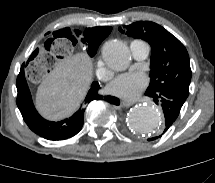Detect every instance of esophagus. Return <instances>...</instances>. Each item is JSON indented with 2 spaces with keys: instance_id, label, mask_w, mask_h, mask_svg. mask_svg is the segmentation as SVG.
<instances>
[{
  "instance_id": "1",
  "label": "esophagus",
  "mask_w": 215,
  "mask_h": 183,
  "mask_svg": "<svg viewBox=\"0 0 215 183\" xmlns=\"http://www.w3.org/2000/svg\"><path fill=\"white\" fill-rule=\"evenodd\" d=\"M134 104V102H130V101H121L120 102V106L121 107H124V108H127V107H130Z\"/></svg>"
}]
</instances>
